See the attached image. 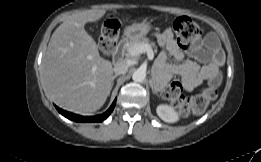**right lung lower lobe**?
Wrapping results in <instances>:
<instances>
[{"label":"right lung lower lobe","mask_w":261,"mask_h":162,"mask_svg":"<svg viewBox=\"0 0 261 162\" xmlns=\"http://www.w3.org/2000/svg\"><path fill=\"white\" fill-rule=\"evenodd\" d=\"M115 104H116V100H114V102L112 103L110 108L105 113L97 115V116H80V115L73 114L71 112L62 110V109L58 108L57 106H56V109L64 117H66L70 120L76 121V122H102L111 114V112L113 111V109L115 107Z\"/></svg>","instance_id":"1"}]
</instances>
